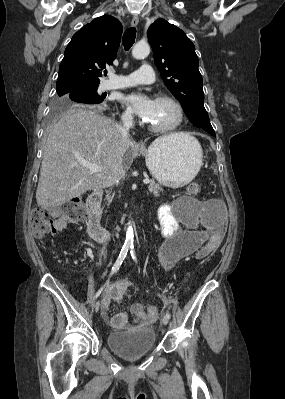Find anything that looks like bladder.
<instances>
[{"label": "bladder", "instance_id": "1", "mask_svg": "<svg viewBox=\"0 0 285 399\" xmlns=\"http://www.w3.org/2000/svg\"><path fill=\"white\" fill-rule=\"evenodd\" d=\"M192 202V198L180 197L174 204L183 208ZM106 342L113 353L123 359L132 360L147 355L154 349L156 334L154 330L147 328L110 332L106 336Z\"/></svg>", "mask_w": 285, "mask_h": 399}]
</instances>
